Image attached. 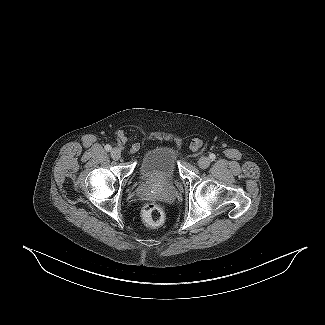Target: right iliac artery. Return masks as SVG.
Returning a JSON list of instances; mask_svg holds the SVG:
<instances>
[{
  "label": "right iliac artery",
  "mask_w": 325,
  "mask_h": 325,
  "mask_svg": "<svg viewBox=\"0 0 325 325\" xmlns=\"http://www.w3.org/2000/svg\"><path fill=\"white\" fill-rule=\"evenodd\" d=\"M111 149H112V147H111L110 145H106V146H105V150H106V151H111Z\"/></svg>",
  "instance_id": "obj_1"
}]
</instances>
